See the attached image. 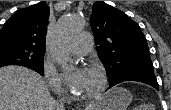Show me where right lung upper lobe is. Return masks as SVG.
<instances>
[{
  "label": "right lung upper lobe",
  "instance_id": "right-lung-upper-lobe-1",
  "mask_svg": "<svg viewBox=\"0 0 171 110\" xmlns=\"http://www.w3.org/2000/svg\"><path fill=\"white\" fill-rule=\"evenodd\" d=\"M49 14L50 9L44 2L18 10L0 30V43L10 42L45 51Z\"/></svg>",
  "mask_w": 171,
  "mask_h": 110
}]
</instances>
